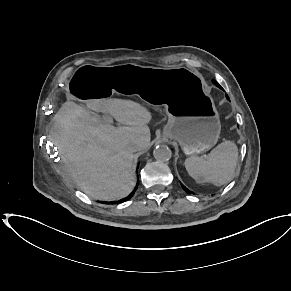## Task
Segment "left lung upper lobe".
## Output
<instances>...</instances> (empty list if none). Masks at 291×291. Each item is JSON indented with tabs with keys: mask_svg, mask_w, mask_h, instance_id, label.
<instances>
[{
	"mask_svg": "<svg viewBox=\"0 0 291 291\" xmlns=\"http://www.w3.org/2000/svg\"><path fill=\"white\" fill-rule=\"evenodd\" d=\"M213 83H214L216 86H218V87H219V84H218V82H217V81L213 80Z\"/></svg>",
	"mask_w": 291,
	"mask_h": 291,
	"instance_id": "obj_1",
	"label": "left lung upper lobe"
}]
</instances>
